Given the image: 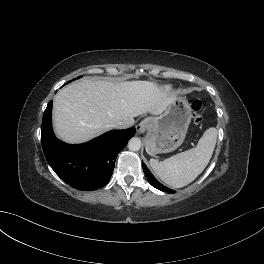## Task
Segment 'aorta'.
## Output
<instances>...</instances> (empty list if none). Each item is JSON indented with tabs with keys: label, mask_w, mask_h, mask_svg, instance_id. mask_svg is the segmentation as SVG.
Here are the masks:
<instances>
[{
	"label": "aorta",
	"mask_w": 264,
	"mask_h": 264,
	"mask_svg": "<svg viewBox=\"0 0 264 264\" xmlns=\"http://www.w3.org/2000/svg\"><path fill=\"white\" fill-rule=\"evenodd\" d=\"M130 151H138L141 148V140L138 137H133L128 142Z\"/></svg>",
	"instance_id": "1"
}]
</instances>
